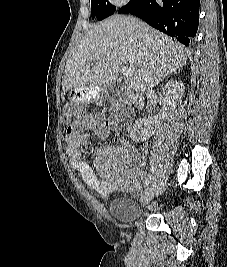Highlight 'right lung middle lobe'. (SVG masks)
Listing matches in <instances>:
<instances>
[{
    "instance_id": "1",
    "label": "right lung middle lobe",
    "mask_w": 227,
    "mask_h": 267,
    "mask_svg": "<svg viewBox=\"0 0 227 267\" xmlns=\"http://www.w3.org/2000/svg\"><path fill=\"white\" fill-rule=\"evenodd\" d=\"M116 7L108 0H91V16L98 20H103L106 17L116 12Z\"/></svg>"
}]
</instances>
